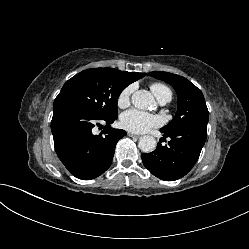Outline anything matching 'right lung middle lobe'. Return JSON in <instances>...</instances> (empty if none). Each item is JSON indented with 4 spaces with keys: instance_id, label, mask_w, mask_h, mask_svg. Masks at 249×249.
Segmentation results:
<instances>
[{
    "instance_id": "obj_1",
    "label": "right lung middle lobe",
    "mask_w": 249,
    "mask_h": 249,
    "mask_svg": "<svg viewBox=\"0 0 249 249\" xmlns=\"http://www.w3.org/2000/svg\"><path fill=\"white\" fill-rule=\"evenodd\" d=\"M127 86L112 68L87 69L69 79L55 101H68L100 118L115 117L118 97Z\"/></svg>"
}]
</instances>
